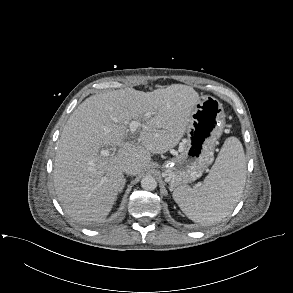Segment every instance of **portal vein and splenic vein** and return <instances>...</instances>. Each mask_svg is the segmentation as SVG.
<instances>
[{"mask_svg":"<svg viewBox=\"0 0 293 293\" xmlns=\"http://www.w3.org/2000/svg\"><path fill=\"white\" fill-rule=\"evenodd\" d=\"M146 116H149V114H146ZM139 126H141V123L139 121L133 120V121H131L129 123V128H130V132H131L132 135L135 133L137 127H139ZM101 155L108 156L109 155V151L108 150H103L101 152Z\"/></svg>","mask_w":293,"mask_h":293,"instance_id":"18ae733b","label":"portal vein and splenic vein"}]
</instances>
